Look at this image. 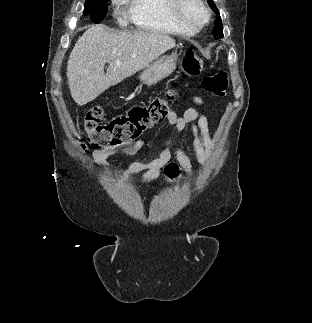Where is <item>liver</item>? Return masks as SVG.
<instances>
[{
    "instance_id": "1",
    "label": "liver",
    "mask_w": 312,
    "mask_h": 323,
    "mask_svg": "<svg viewBox=\"0 0 312 323\" xmlns=\"http://www.w3.org/2000/svg\"><path fill=\"white\" fill-rule=\"evenodd\" d=\"M175 46V40L168 34L111 32L103 24L90 26L77 40L67 62L66 76L74 102L78 106L93 102L110 86L147 68ZM105 64H109L106 74Z\"/></svg>"
}]
</instances>
